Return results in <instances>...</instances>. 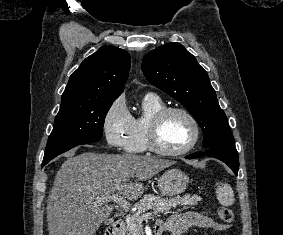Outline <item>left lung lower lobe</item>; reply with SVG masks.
<instances>
[{
  "instance_id": "obj_1",
  "label": "left lung lower lobe",
  "mask_w": 283,
  "mask_h": 235,
  "mask_svg": "<svg viewBox=\"0 0 283 235\" xmlns=\"http://www.w3.org/2000/svg\"><path fill=\"white\" fill-rule=\"evenodd\" d=\"M217 158L227 164L237 175L239 169V156L235 147H216L209 148L205 152H196L186 156L187 159H194L201 156Z\"/></svg>"
}]
</instances>
